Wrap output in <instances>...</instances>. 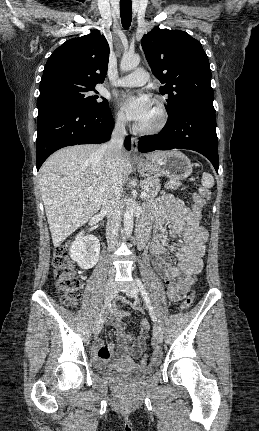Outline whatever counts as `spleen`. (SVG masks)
I'll return each mask as SVG.
<instances>
[{
    "label": "spleen",
    "instance_id": "obj_1",
    "mask_svg": "<svg viewBox=\"0 0 259 431\" xmlns=\"http://www.w3.org/2000/svg\"><path fill=\"white\" fill-rule=\"evenodd\" d=\"M201 182H202L203 187H205V188H211L214 186L213 176L209 173H204L202 175Z\"/></svg>",
    "mask_w": 259,
    "mask_h": 431
}]
</instances>
